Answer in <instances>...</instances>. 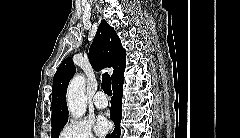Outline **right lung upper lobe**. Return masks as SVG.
<instances>
[{
	"label": "right lung upper lobe",
	"mask_w": 240,
	"mask_h": 138,
	"mask_svg": "<svg viewBox=\"0 0 240 138\" xmlns=\"http://www.w3.org/2000/svg\"><path fill=\"white\" fill-rule=\"evenodd\" d=\"M126 51L115 30L102 20L98 27L93 43L89 49V60L96 71L104 67H113L111 76L112 85L124 80V69ZM76 69L72 59L66 58L58 67L52 88V117L51 126L66 123L68 121V108L66 103V92L68 83Z\"/></svg>",
	"instance_id": "cb5924a9"
}]
</instances>
